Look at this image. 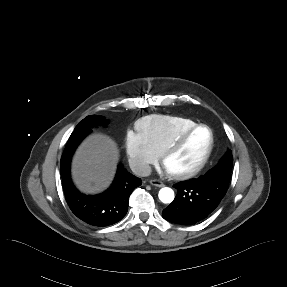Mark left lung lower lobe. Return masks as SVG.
<instances>
[{
    "label": "left lung lower lobe",
    "mask_w": 287,
    "mask_h": 287,
    "mask_svg": "<svg viewBox=\"0 0 287 287\" xmlns=\"http://www.w3.org/2000/svg\"><path fill=\"white\" fill-rule=\"evenodd\" d=\"M228 184L229 179L223 170L214 168L207 176L175 184L177 195L163 210V218L182 225H192L205 219L219 205Z\"/></svg>",
    "instance_id": "obj_1"
}]
</instances>
